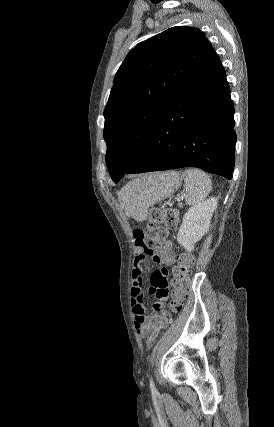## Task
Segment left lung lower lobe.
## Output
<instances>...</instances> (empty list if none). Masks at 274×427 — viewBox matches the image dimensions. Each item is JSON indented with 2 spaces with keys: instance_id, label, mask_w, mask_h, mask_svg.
<instances>
[{
  "instance_id": "left-lung-lower-lobe-1",
  "label": "left lung lower lobe",
  "mask_w": 274,
  "mask_h": 427,
  "mask_svg": "<svg viewBox=\"0 0 274 427\" xmlns=\"http://www.w3.org/2000/svg\"><path fill=\"white\" fill-rule=\"evenodd\" d=\"M224 67L214 49L163 112L141 155L124 174L197 167L232 179L236 134Z\"/></svg>"
}]
</instances>
